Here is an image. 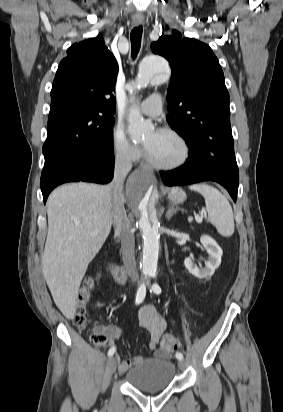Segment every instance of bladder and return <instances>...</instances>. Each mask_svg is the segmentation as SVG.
<instances>
[{
  "label": "bladder",
  "mask_w": 283,
  "mask_h": 412,
  "mask_svg": "<svg viewBox=\"0 0 283 412\" xmlns=\"http://www.w3.org/2000/svg\"><path fill=\"white\" fill-rule=\"evenodd\" d=\"M176 375L171 360H145L125 374L126 382L143 392H159L169 388Z\"/></svg>",
  "instance_id": "obj_1"
}]
</instances>
